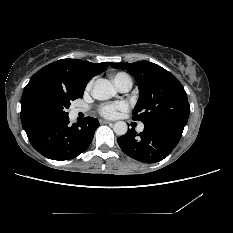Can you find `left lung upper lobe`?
Segmentation results:
<instances>
[{"label":"left lung upper lobe","instance_id":"left-lung-upper-lobe-1","mask_svg":"<svg viewBox=\"0 0 233 233\" xmlns=\"http://www.w3.org/2000/svg\"><path fill=\"white\" fill-rule=\"evenodd\" d=\"M110 65L129 71L137 81L140 98L133 110L134 120L166 128L184 129L190 105L182 84L173 74L149 61Z\"/></svg>","mask_w":233,"mask_h":233}]
</instances>
